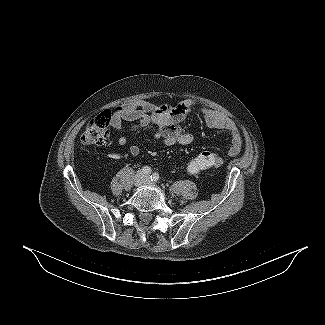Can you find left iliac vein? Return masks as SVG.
Wrapping results in <instances>:
<instances>
[{
    "label": "left iliac vein",
    "instance_id": "obj_1",
    "mask_svg": "<svg viewBox=\"0 0 325 325\" xmlns=\"http://www.w3.org/2000/svg\"><path fill=\"white\" fill-rule=\"evenodd\" d=\"M144 183L145 184H150V177L148 175L145 177V182Z\"/></svg>",
    "mask_w": 325,
    "mask_h": 325
}]
</instances>
